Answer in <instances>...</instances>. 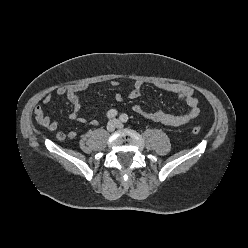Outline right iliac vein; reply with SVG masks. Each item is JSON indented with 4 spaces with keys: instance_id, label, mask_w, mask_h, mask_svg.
Wrapping results in <instances>:
<instances>
[{
    "instance_id": "1",
    "label": "right iliac vein",
    "mask_w": 248,
    "mask_h": 248,
    "mask_svg": "<svg viewBox=\"0 0 248 248\" xmlns=\"http://www.w3.org/2000/svg\"><path fill=\"white\" fill-rule=\"evenodd\" d=\"M117 127V122L116 121H110L108 124H107V131L109 132H113L115 130V128Z\"/></svg>"
}]
</instances>
